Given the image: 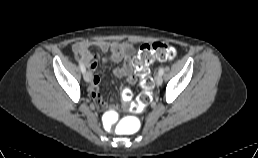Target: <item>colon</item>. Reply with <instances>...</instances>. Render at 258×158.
I'll return each instance as SVG.
<instances>
[{"label":"colon","instance_id":"5ec220e1","mask_svg":"<svg viewBox=\"0 0 258 158\" xmlns=\"http://www.w3.org/2000/svg\"><path fill=\"white\" fill-rule=\"evenodd\" d=\"M175 56V48L165 42H154L140 46L138 54L133 60V64L137 75L140 77L141 93L135 103H129L131 94L128 90L122 95L127 108L132 113L142 112L151 102L153 83L150 77V63L155 59L159 61L172 60ZM77 58L83 61L84 56L82 53H77Z\"/></svg>","mask_w":258,"mask_h":158}]
</instances>
